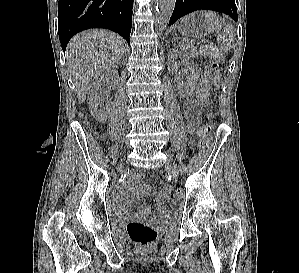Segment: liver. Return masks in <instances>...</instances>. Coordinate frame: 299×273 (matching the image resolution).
I'll return each instance as SVG.
<instances>
[{
	"instance_id": "1",
	"label": "liver",
	"mask_w": 299,
	"mask_h": 273,
	"mask_svg": "<svg viewBox=\"0 0 299 273\" xmlns=\"http://www.w3.org/2000/svg\"><path fill=\"white\" fill-rule=\"evenodd\" d=\"M124 52V40L108 30L91 29L71 39L66 48V64L80 104L95 77L116 67Z\"/></svg>"
}]
</instances>
